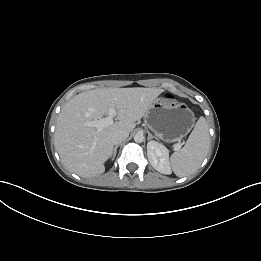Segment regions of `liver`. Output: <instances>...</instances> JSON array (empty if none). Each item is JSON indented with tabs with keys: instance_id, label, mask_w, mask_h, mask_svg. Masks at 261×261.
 <instances>
[{
	"instance_id": "obj_1",
	"label": "liver",
	"mask_w": 261,
	"mask_h": 261,
	"mask_svg": "<svg viewBox=\"0 0 261 261\" xmlns=\"http://www.w3.org/2000/svg\"><path fill=\"white\" fill-rule=\"evenodd\" d=\"M162 92L159 88H101L69 100L57 117L55 130V148L64 166L84 178L104 173V163L113 153L111 135L131 132ZM110 108L116 110L118 121L101 130L85 125L102 119Z\"/></svg>"
}]
</instances>
